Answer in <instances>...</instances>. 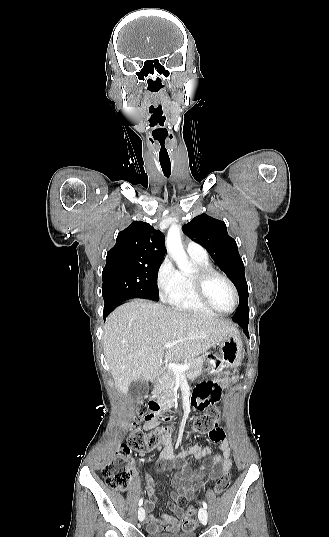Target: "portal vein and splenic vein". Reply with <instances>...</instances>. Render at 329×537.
Masks as SVG:
<instances>
[{
  "mask_svg": "<svg viewBox=\"0 0 329 537\" xmlns=\"http://www.w3.org/2000/svg\"><path fill=\"white\" fill-rule=\"evenodd\" d=\"M177 342H171V343H166L164 344V348H171L173 347ZM190 365L189 364H185V365H179V364H175V363H170L169 364V368H171L173 371H175L176 373H179L180 375H182V373L184 371H186L187 369H189Z\"/></svg>",
  "mask_w": 329,
  "mask_h": 537,
  "instance_id": "obj_1",
  "label": "portal vein and splenic vein"
}]
</instances>
